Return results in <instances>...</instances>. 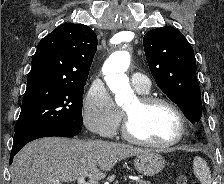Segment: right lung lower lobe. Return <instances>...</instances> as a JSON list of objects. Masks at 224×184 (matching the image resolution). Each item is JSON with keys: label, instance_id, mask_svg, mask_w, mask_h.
Segmentation results:
<instances>
[{"label": "right lung lower lobe", "instance_id": "1", "mask_svg": "<svg viewBox=\"0 0 224 184\" xmlns=\"http://www.w3.org/2000/svg\"><path fill=\"white\" fill-rule=\"evenodd\" d=\"M81 131V126L70 125H44L28 129L14 137L9 164L12 163L15 154L28 142L48 136L73 137Z\"/></svg>", "mask_w": 224, "mask_h": 184}]
</instances>
